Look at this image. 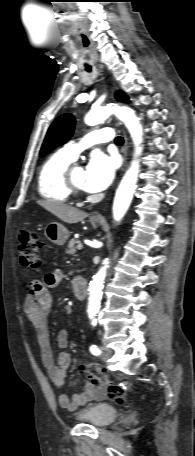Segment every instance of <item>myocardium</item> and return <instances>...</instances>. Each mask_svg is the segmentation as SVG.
Returning <instances> with one entry per match:
<instances>
[{
  "label": "myocardium",
  "mask_w": 195,
  "mask_h": 456,
  "mask_svg": "<svg viewBox=\"0 0 195 456\" xmlns=\"http://www.w3.org/2000/svg\"><path fill=\"white\" fill-rule=\"evenodd\" d=\"M78 167L76 164H71L66 172H65V182L70 190L71 194L73 195H81L84 192V189L77 184L74 183L73 178H72V172L73 170Z\"/></svg>",
  "instance_id": "obj_1"
}]
</instances>
